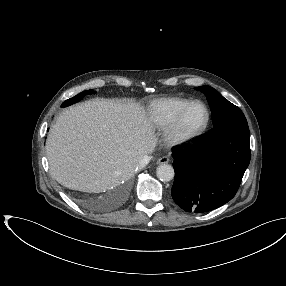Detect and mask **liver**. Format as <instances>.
I'll return each instance as SVG.
<instances>
[{
	"label": "liver",
	"mask_w": 286,
	"mask_h": 286,
	"mask_svg": "<svg viewBox=\"0 0 286 286\" xmlns=\"http://www.w3.org/2000/svg\"><path fill=\"white\" fill-rule=\"evenodd\" d=\"M156 146L153 126L133 101L93 99L60 114L46 153L61 185L100 193L129 179Z\"/></svg>",
	"instance_id": "obj_1"
}]
</instances>
